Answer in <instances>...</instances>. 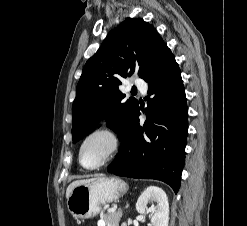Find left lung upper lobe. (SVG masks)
<instances>
[{
  "instance_id": "left-lung-upper-lobe-1",
  "label": "left lung upper lobe",
  "mask_w": 247,
  "mask_h": 226,
  "mask_svg": "<svg viewBox=\"0 0 247 226\" xmlns=\"http://www.w3.org/2000/svg\"><path fill=\"white\" fill-rule=\"evenodd\" d=\"M156 29L143 19L127 18L107 35L86 62L73 102V142L91 133L106 119L117 134L131 120L138 101L119 90L121 79L137 72L144 78L165 46Z\"/></svg>"
}]
</instances>
